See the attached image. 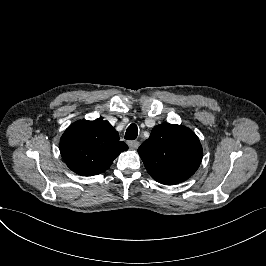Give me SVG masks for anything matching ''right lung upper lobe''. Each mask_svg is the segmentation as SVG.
Wrapping results in <instances>:
<instances>
[{
    "mask_svg": "<svg viewBox=\"0 0 266 266\" xmlns=\"http://www.w3.org/2000/svg\"><path fill=\"white\" fill-rule=\"evenodd\" d=\"M128 146L108 121H76L60 140V152L67 166L82 176L107 170L113 160Z\"/></svg>",
    "mask_w": 266,
    "mask_h": 266,
    "instance_id": "obj_1",
    "label": "right lung upper lobe"
}]
</instances>
